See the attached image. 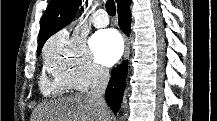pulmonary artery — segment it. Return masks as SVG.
Wrapping results in <instances>:
<instances>
[{
	"label": "pulmonary artery",
	"mask_w": 217,
	"mask_h": 121,
	"mask_svg": "<svg viewBox=\"0 0 217 121\" xmlns=\"http://www.w3.org/2000/svg\"><path fill=\"white\" fill-rule=\"evenodd\" d=\"M92 23L97 28L106 27L109 24V17L104 10L99 9L94 13Z\"/></svg>",
	"instance_id": "e3ab8cb5"
}]
</instances>
